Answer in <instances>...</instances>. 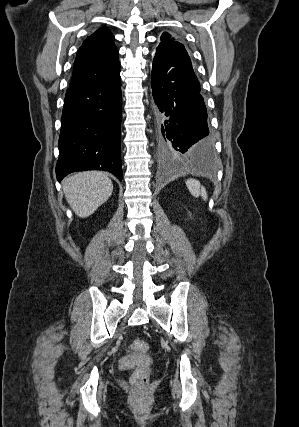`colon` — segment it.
Instances as JSON below:
<instances>
[{
  "mask_svg": "<svg viewBox=\"0 0 299 427\" xmlns=\"http://www.w3.org/2000/svg\"><path fill=\"white\" fill-rule=\"evenodd\" d=\"M130 349L132 351L145 352L148 350V344L140 339H135L130 344ZM149 373V369L143 366L138 367L134 371L131 377V384L137 392H143L146 390L149 382Z\"/></svg>",
  "mask_w": 299,
  "mask_h": 427,
  "instance_id": "colon-1",
  "label": "colon"
}]
</instances>
